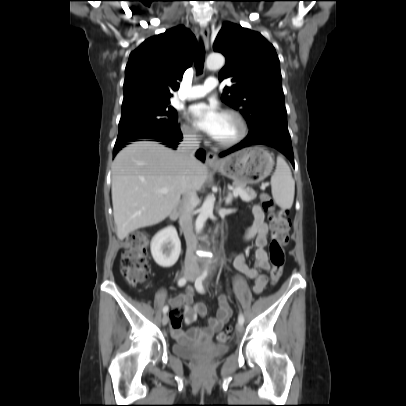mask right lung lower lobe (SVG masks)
<instances>
[{
  "label": "right lung lower lobe",
  "instance_id": "right-lung-lower-lobe-1",
  "mask_svg": "<svg viewBox=\"0 0 406 406\" xmlns=\"http://www.w3.org/2000/svg\"><path fill=\"white\" fill-rule=\"evenodd\" d=\"M181 138H182L181 131L179 127H177L175 130L161 135L132 138L124 141H116L113 150V155L115 156L123 147H125V145L129 144V142L138 141V139H152L153 141L161 142L167 147L176 148L177 145L179 144L178 142L181 141ZM196 156L202 161L205 160V152L201 149L198 150Z\"/></svg>",
  "mask_w": 406,
  "mask_h": 406
}]
</instances>
